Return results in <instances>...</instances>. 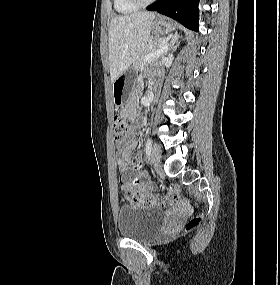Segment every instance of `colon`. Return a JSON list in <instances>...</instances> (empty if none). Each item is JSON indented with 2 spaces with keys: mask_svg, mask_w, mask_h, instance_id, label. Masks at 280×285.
<instances>
[{
  "mask_svg": "<svg viewBox=\"0 0 280 285\" xmlns=\"http://www.w3.org/2000/svg\"><path fill=\"white\" fill-rule=\"evenodd\" d=\"M131 127L128 118L116 114L112 121L113 138L116 142H121ZM180 194L176 187H170L165 195L142 194L139 192L128 191L126 199L131 204L151 203L161 206H172L179 200ZM201 215L193 216L186 224V230L190 231L198 227L202 223Z\"/></svg>",
  "mask_w": 280,
  "mask_h": 285,
  "instance_id": "5ec220e1",
  "label": "colon"
}]
</instances>
